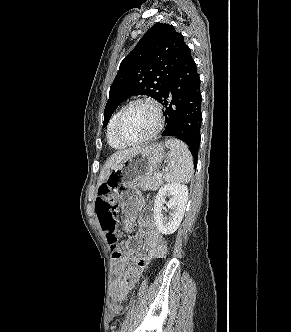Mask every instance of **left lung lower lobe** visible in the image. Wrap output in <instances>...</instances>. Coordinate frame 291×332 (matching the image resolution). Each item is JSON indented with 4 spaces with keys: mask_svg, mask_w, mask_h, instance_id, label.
<instances>
[{
    "mask_svg": "<svg viewBox=\"0 0 291 332\" xmlns=\"http://www.w3.org/2000/svg\"><path fill=\"white\" fill-rule=\"evenodd\" d=\"M201 101L200 77L187 46L159 102L165 107L166 127L162 136H174L185 142L195 164L200 145Z\"/></svg>",
    "mask_w": 291,
    "mask_h": 332,
    "instance_id": "0a47b994",
    "label": "left lung lower lobe"
}]
</instances>
